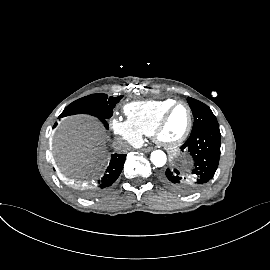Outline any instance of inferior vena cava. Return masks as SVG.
Here are the masks:
<instances>
[{"mask_svg":"<svg viewBox=\"0 0 270 270\" xmlns=\"http://www.w3.org/2000/svg\"><path fill=\"white\" fill-rule=\"evenodd\" d=\"M113 147L119 153H126L127 151L130 150L129 144L125 141H122V140H116L113 143Z\"/></svg>","mask_w":270,"mask_h":270,"instance_id":"inferior-vena-cava-1","label":"inferior vena cava"}]
</instances>
